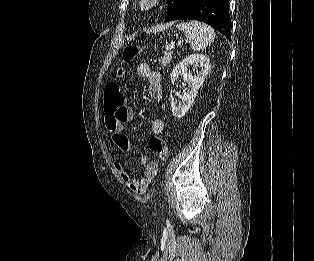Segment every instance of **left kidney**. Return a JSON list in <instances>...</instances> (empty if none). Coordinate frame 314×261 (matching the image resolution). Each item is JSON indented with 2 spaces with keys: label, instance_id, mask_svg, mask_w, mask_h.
Here are the masks:
<instances>
[{
  "label": "left kidney",
  "instance_id": "5707ae66",
  "mask_svg": "<svg viewBox=\"0 0 314 261\" xmlns=\"http://www.w3.org/2000/svg\"><path fill=\"white\" fill-rule=\"evenodd\" d=\"M193 65L196 69H200L196 72V75H192L188 71V67ZM210 70L209 58L203 54H192L182 60L171 73L172 84L182 76L184 81L188 84V89L181 97L182 102L177 104V101L171 95V108L172 113L176 118H182L192 106L194 99L197 96V92L202 86L208 72ZM173 91L171 90V94Z\"/></svg>",
  "mask_w": 314,
  "mask_h": 261
}]
</instances>
